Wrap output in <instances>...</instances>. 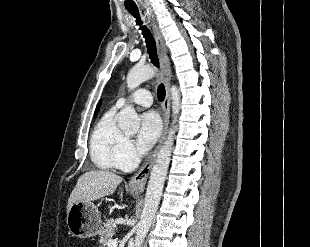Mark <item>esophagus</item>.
Here are the masks:
<instances>
[{"label":"esophagus","mask_w":310,"mask_h":247,"mask_svg":"<svg viewBox=\"0 0 310 247\" xmlns=\"http://www.w3.org/2000/svg\"><path fill=\"white\" fill-rule=\"evenodd\" d=\"M152 29H153L155 40H156L158 56L160 60V65H161V70H162L163 80H164L165 90H166V96L163 102L164 127H163L162 136L160 138L159 144L155 152L150 157V159L141 167V169L137 173H135L129 180V188L136 193H141L145 189L147 178L149 176V173L151 171L155 158L158 154L159 148L165 139L167 129H168V124H169V118H170V80H171V74H172L170 62L166 55V48H165L163 36L159 28L154 22H152Z\"/></svg>","instance_id":"1"}]
</instances>
